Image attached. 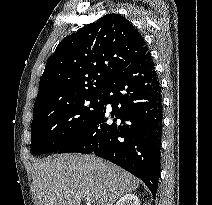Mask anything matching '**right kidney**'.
<instances>
[{
	"instance_id": "1",
	"label": "right kidney",
	"mask_w": 212,
	"mask_h": 205,
	"mask_svg": "<svg viewBox=\"0 0 212 205\" xmlns=\"http://www.w3.org/2000/svg\"><path fill=\"white\" fill-rule=\"evenodd\" d=\"M115 205H140V201L134 194H126L122 196Z\"/></svg>"
}]
</instances>
